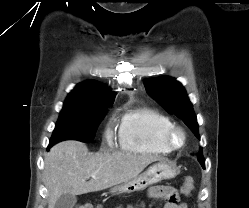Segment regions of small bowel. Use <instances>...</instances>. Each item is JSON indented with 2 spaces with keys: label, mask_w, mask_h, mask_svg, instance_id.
<instances>
[{
  "label": "small bowel",
  "mask_w": 249,
  "mask_h": 208,
  "mask_svg": "<svg viewBox=\"0 0 249 208\" xmlns=\"http://www.w3.org/2000/svg\"><path fill=\"white\" fill-rule=\"evenodd\" d=\"M149 196L164 199V208H186V205L180 202L177 191L170 186H153L149 189Z\"/></svg>",
  "instance_id": "c3829d8e"
}]
</instances>
